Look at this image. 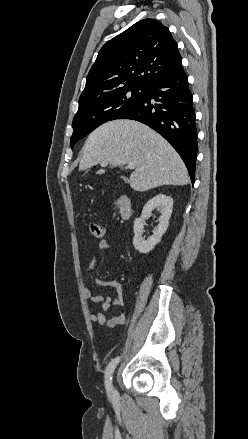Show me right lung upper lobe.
<instances>
[{"label":"right lung upper lobe","instance_id":"right-lung-upper-lobe-1","mask_svg":"<svg viewBox=\"0 0 248 439\" xmlns=\"http://www.w3.org/2000/svg\"><path fill=\"white\" fill-rule=\"evenodd\" d=\"M181 67L182 57L169 29L155 19L141 20L101 48L79 105L124 87L147 88Z\"/></svg>","mask_w":248,"mask_h":439}]
</instances>
